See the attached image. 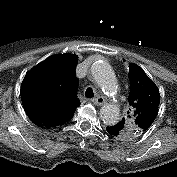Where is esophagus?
Listing matches in <instances>:
<instances>
[{
	"instance_id": "obj_1",
	"label": "esophagus",
	"mask_w": 177,
	"mask_h": 177,
	"mask_svg": "<svg viewBox=\"0 0 177 177\" xmlns=\"http://www.w3.org/2000/svg\"><path fill=\"white\" fill-rule=\"evenodd\" d=\"M96 105H103L105 103V99L102 96H98L91 100Z\"/></svg>"
}]
</instances>
